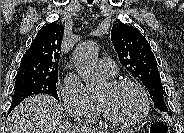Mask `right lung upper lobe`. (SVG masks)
<instances>
[{
  "label": "right lung upper lobe",
  "instance_id": "1",
  "mask_svg": "<svg viewBox=\"0 0 184 133\" xmlns=\"http://www.w3.org/2000/svg\"><path fill=\"white\" fill-rule=\"evenodd\" d=\"M63 25L51 23L42 27L21 59L16 78L58 76Z\"/></svg>",
  "mask_w": 184,
  "mask_h": 133
}]
</instances>
